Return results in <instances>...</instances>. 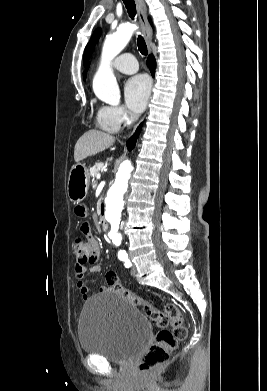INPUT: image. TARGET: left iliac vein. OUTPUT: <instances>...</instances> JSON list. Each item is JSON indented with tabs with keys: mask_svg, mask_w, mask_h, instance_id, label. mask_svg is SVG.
<instances>
[{
	"mask_svg": "<svg viewBox=\"0 0 267 391\" xmlns=\"http://www.w3.org/2000/svg\"><path fill=\"white\" fill-rule=\"evenodd\" d=\"M136 273H137V269H136V266L133 264V265H132V268H131V275H132V276H135Z\"/></svg>",
	"mask_w": 267,
	"mask_h": 391,
	"instance_id": "obj_1",
	"label": "left iliac vein"
}]
</instances>
